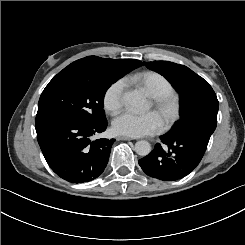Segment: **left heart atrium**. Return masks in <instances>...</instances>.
<instances>
[{
  "label": "left heart atrium",
  "mask_w": 245,
  "mask_h": 245,
  "mask_svg": "<svg viewBox=\"0 0 245 245\" xmlns=\"http://www.w3.org/2000/svg\"><path fill=\"white\" fill-rule=\"evenodd\" d=\"M113 128L117 134L140 137L158 132L161 124L157 115L151 112L144 114L124 112L115 118Z\"/></svg>",
  "instance_id": "left-heart-atrium-1"
}]
</instances>
